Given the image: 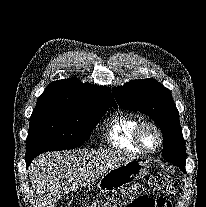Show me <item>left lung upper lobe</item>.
<instances>
[{
	"label": "left lung upper lobe",
	"mask_w": 206,
	"mask_h": 207,
	"mask_svg": "<svg viewBox=\"0 0 206 207\" xmlns=\"http://www.w3.org/2000/svg\"><path fill=\"white\" fill-rule=\"evenodd\" d=\"M112 91L122 109L138 110L160 126L164 138V159L185 169V142L179 112L170 90L148 78L132 80L121 87H114Z\"/></svg>",
	"instance_id": "obj_1"
}]
</instances>
